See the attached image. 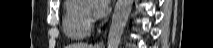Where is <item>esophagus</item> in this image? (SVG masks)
<instances>
[{
  "label": "esophagus",
  "instance_id": "obj_1",
  "mask_svg": "<svg viewBox=\"0 0 213 48\" xmlns=\"http://www.w3.org/2000/svg\"><path fill=\"white\" fill-rule=\"evenodd\" d=\"M103 47V41H101L99 44H97V48H102Z\"/></svg>",
  "mask_w": 213,
  "mask_h": 48
}]
</instances>
